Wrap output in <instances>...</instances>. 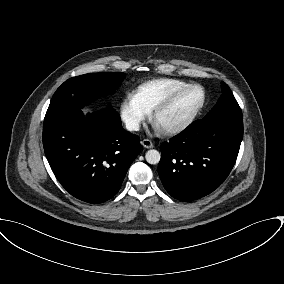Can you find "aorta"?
I'll list each match as a JSON object with an SVG mask.
<instances>
[{"label": "aorta", "instance_id": "762f6f07", "mask_svg": "<svg viewBox=\"0 0 284 284\" xmlns=\"http://www.w3.org/2000/svg\"><path fill=\"white\" fill-rule=\"evenodd\" d=\"M161 154L155 149L148 150L145 154V159L149 164L159 163Z\"/></svg>", "mask_w": 284, "mask_h": 284}]
</instances>
